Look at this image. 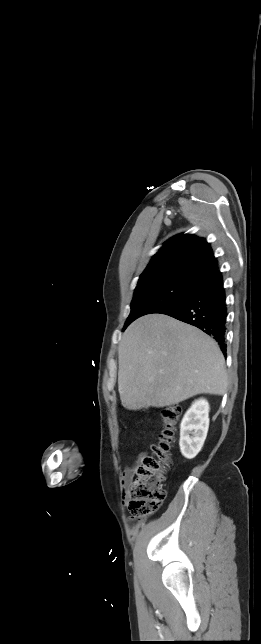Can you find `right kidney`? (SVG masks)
<instances>
[{
  "label": "right kidney",
  "mask_w": 261,
  "mask_h": 644,
  "mask_svg": "<svg viewBox=\"0 0 261 644\" xmlns=\"http://www.w3.org/2000/svg\"><path fill=\"white\" fill-rule=\"evenodd\" d=\"M209 404L196 400L185 413L180 425V450L184 457L194 458L201 450L209 428Z\"/></svg>",
  "instance_id": "right-kidney-1"
}]
</instances>
